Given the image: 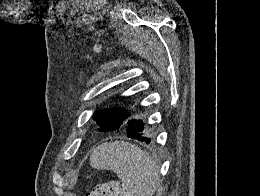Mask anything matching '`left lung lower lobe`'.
I'll return each mask as SVG.
<instances>
[{
	"mask_svg": "<svg viewBox=\"0 0 260 196\" xmlns=\"http://www.w3.org/2000/svg\"><path fill=\"white\" fill-rule=\"evenodd\" d=\"M133 111H122L121 109H111L106 111L101 117L103 122H120L127 119ZM146 126L142 122L130 121L127 126V133L129 138L138 139L139 141H144L147 144L151 142V138L145 135Z\"/></svg>",
	"mask_w": 260,
	"mask_h": 196,
	"instance_id": "obj_1",
	"label": "left lung lower lobe"
}]
</instances>
